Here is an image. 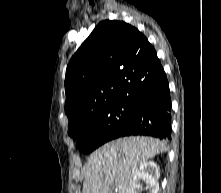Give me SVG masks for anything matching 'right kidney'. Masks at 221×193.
<instances>
[{
  "label": "right kidney",
  "mask_w": 221,
  "mask_h": 193,
  "mask_svg": "<svg viewBox=\"0 0 221 193\" xmlns=\"http://www.w3.org/2000/svg\"><path fill=\"white\" fill-rule=\"evenodd\" d=\"M159 177L160 170L155 162L149 161L143 163L133 177L130 193H140L142 191L141 182L143 181L146 182V190H148L149 193H158Z\"/></svg>",
  "instance_id": "obj_1"
}]
</instances>
